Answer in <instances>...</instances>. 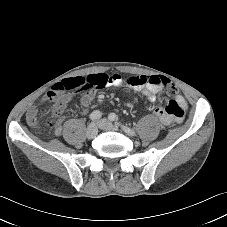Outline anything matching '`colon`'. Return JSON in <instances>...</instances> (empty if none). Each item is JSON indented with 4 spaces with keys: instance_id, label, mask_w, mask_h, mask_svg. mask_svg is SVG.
Segmentation results:
<instances>
[{
    "instance_id": "colon-1",
    "label": "colon",
    "mask_w": 227,
    "mask_h": 227,
    "mask_svg": "<svg viewBox=\"0 0 227 227\" xmlns=\"http://www.w3.org/2000/svg\"><path fill=\"white\" fill-rule=\"evenodd\" d=\"M142 83H144V84L148 83V84H152V85L160 84V85H162V87L165 88V90L169 94H175L177 92V88L173 83H171L168 79L160 77V76H152L150 78L143 80ZM58 122H59V117H58L57 113H55L53 111L47 122V126L55 127L58 124Z\"/></svg>"
}]
</instances>
